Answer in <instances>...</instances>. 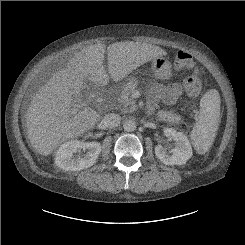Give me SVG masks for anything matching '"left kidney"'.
<instances>
[{"label": "left kidney", "instance_id": "1", "mask_svg": "<svg viewBox=\"0 0 245 245\" xmlns=\"http://www.w3.org/2000/svg\"><path fill=\"white\" fill-rule=\"evenodd\" d=\"M164 134L175 142V148L167 151L162 145L155 147L157 158L166 165H183L193 155L191 144L187 136L172 128H165Z\"/></svg>", "mask_w": 245, "mask_h": 245}]
</instances>
